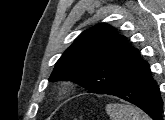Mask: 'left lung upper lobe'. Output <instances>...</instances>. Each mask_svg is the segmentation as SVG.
Instances as JSON below:
<instances>
[{
  "label": "left lung upper lobe",
  "instance_id": "1",
  "mask_svg": "<svg viewBox=\"0 0 165 120\" xmlns=\"http://www.w3.org/2000/svg\"><path fill=\"white\" fill-rule=\"evenodd\" d=\"M137 51L115 28L100 23L63 53L49 81L70 80L90 93L109 94L121 84Z\"/></svg>",
  "mask_w": 165,
  "mask_h": 120
}]
</instances>
